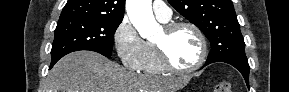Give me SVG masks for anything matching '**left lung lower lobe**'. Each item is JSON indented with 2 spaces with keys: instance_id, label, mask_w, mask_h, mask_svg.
I'll list each match as a JSON object with an SVG mask.
<instances>
[{
  "instance_id": "1",
  "label": "left lung lower lobe",
  "mask_w": 289,
  "mask_h": 92,
  "mask_svg": "<svg viewBox=\"0 0 289 92\" xmlns=\"http://www.w3.org/2000/svg\"><path fill=\"white\" fill-rule=\"evenodd\" d=\"M214 62H224V63H228L232 66H234L237 70H239L241 72V74L243 75L246 84L249 88V64L247 60H239V59H233V58H221V59H217L214 61H210V62H206L204 66L209 65L211 63Z\"/></svg>"
}]
</instances>
